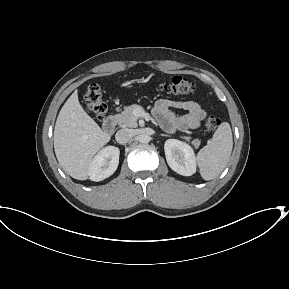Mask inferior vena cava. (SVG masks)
I'll use <instances>...</instances> for the list:
<instances>
[{
	"mask_svg": "<svg viewBox=\"0 0 289 289\" xmlns=\"http://www.w3.org/2000/svg\"><path fill=\"white\" fill-rule=\"evenodd\" d=\"M132 137V130L126 128L119 130L115 135L116 141L120 144L128 143Z\"/></svg>",
	"mask_w": 289,
	"mask_h": 289,
	"instance_id": "602c4592",
	"label": "inferior vena cava"
}]
</instances>
